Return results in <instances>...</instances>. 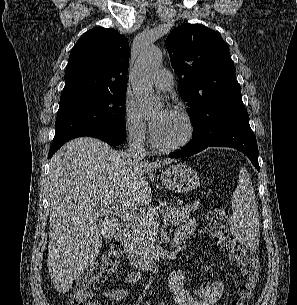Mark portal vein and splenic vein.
Segmentation results:
<instances>
[{
    "label": "portal vein and splenic vein",
    "instance_id": "18ae733b",
    "mask_svg": "<svg viewBox=\"0 0 297 305\" xmlns=\"http://www.w3.org/2000/svg\"><path fill=\"white\" fill-rule=\"evenodd\" d=\"M153 212H155V210H153ZM100 213L102 215H109V214H113L114 216H121L122 218L129 220V221H134L137 220L139 218H142L145 215H150L142 213V212H136V211H124V212H119V210H117L115 207H113V211H109V210H101ZM166 216V213H165Z\"/></svg>",
    "mask_w": 297,
    "mask_h": 305
}]
</instances>
